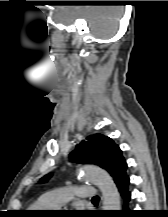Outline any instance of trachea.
<instances>
[{
	"instance_id": "3493384b",
	"label": "trachea",
	"mask_w": 168,
	"mask_h": 217,
	"mask_svg": "<svg viewBox=\"0 0 168 217\" xmlns=\"http://www.w3.org/2000/svg\"><path fill=\"white\" fill-rule=\"evenodd\" d=\"M96 200H99L98 196H95V197L92 198V201H96Z\"/></svg>"
}]
</instances>
